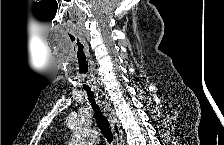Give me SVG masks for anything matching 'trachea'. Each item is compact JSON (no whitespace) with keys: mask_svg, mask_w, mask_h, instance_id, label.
Returning <instances> with one entry per match:
<instances>
[{"mask_svg":"<svg viewBox=\"0 0 224 145\" xmlns=\"http://www.w3.org/2000/svg\"><path fill=\"white\" fill-rule=\"evenodd\" d=\"M79 48V45H78ZM78 55L83 56L82 53H80L78 49ZM88 71H89V66L88 63L86 62V59H83V57L80 59L79 58V74H80V79L82 80L83 85V90L86 91L89 102L91 103L94 113H95V119L97 121V124L103 133L104 137L106 140L111 143L113 141V134L111 131V128L109 126V122L107 118L103 115L102 111L99 108V105L94 99V93L91 90L90 86L88 85Z\"/></svg>","mask_w":224,"mask_h":145,"instance_id":"obj_1","label":"trachea"}]
</instances>
